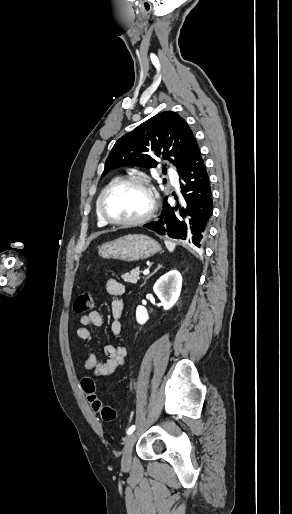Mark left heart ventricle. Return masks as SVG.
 Returning a JSON list of instances; mask_svg holds the SVG:
<instances>
[{"mask_svg": "<svg viewBox=\"0 0 292 514\" xmlns=\"http://www.w3.org/2000/svg\"><path fill=\"white\" fill-rule=\"evenodd\" d=\"M147 193L136 185H120L108 192L104 211L116 220H131L143 216L149 209Z\"/></svg>", "mask_w": 292, "mask_h": 514, "instance_id": "b2bd125f", "label": "left heart ventricle"}]
</instances>
